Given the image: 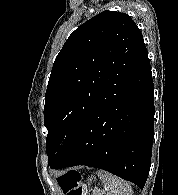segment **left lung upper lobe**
Wrapping results in <instances>:
<instances>
[{"mask_svg":"<svg viewBox=\"0 0 178 195\" xmlns=\"http://www.w3.org/2000/svg\"><path fill=\"white\" fill-rule=\"evenodd\" d=\"M147 58L142 33L125 13L103 11L69 36L45 94L48 166L57 164L97 107Z\"/></svg>","mask_w":178,"mask_h":195,"instance_id":"1","label":"left lung upper lobe"}]
</instances>
